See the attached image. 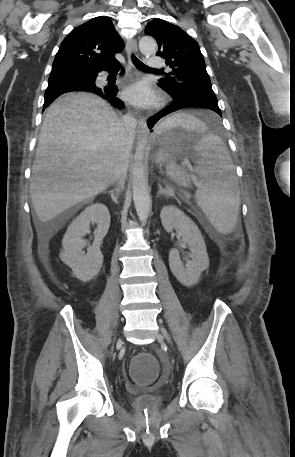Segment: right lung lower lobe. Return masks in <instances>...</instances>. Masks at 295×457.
I'll use <instances>...</instances> for the list:
<instances>
[{"mask_svg": "<svg viewBox=\"0 0 295 457\" xmlns=\"http://www.w3.org/2000/svg\"><path fill=\"white\" fill-rule=\"evenodd\" d=\"M120 66L119 62L116 60L112 62L111 64L107 65L105 68L102 70L105 71H110L113 70L114 67ZM100 70V71H102ZM98 73V72H97ZM97 73L93 74L90 76L89 80L86 79H60V78H55V79H49V85L47 90H52L53 95L50 97H45V102H44V109L54 100L56 99L59 95L65 93V92H70V91H87V92H92L95 93L102 98L106 99L109 101L113 106H116L118 108H123L124 104L123 102L117 98V91L118 88L116 86H106L104 88L97 87L95 85V79L97 77ZM59 90L63 91V93H58Z\"/></svg>", "mask_w": 295, "mask_h": 457, "instance_id": "98d812e1", "label": "right lung lower lobe"}]
</instances>
